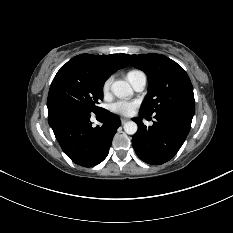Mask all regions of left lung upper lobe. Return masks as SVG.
Segmentation results:
<instances>
[{
	"mask_svg": "<svg viewBox=\"0 0 233 233\" xmlns=\"http://www.w3.org/2000/svg\"><path fill=\"white\" fill-rule=\"evenodd\" d=\"M123 57L148 76L149 94L141 108L142 112L148 115L176 112L193 118V87L179 64L161 54H123Z\"/></svg>",
	"mask_w": 233,
	"mask_h": 233,
	"instance_id": "left-lung-upper-lobe-1",
	"label": "left lung upper lobe"
}]
</instances>
